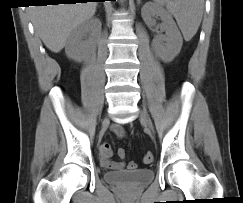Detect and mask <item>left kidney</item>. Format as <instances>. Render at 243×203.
<instances>
[{
    "label": "left kidney",
    "instance_id": "left-kidney-1",
    "mask_svg": "<svg viewBox=\"0 0 243 203\" xmlns=\"http://www.w3.org/2000/svg\"><path fill=\"white\" fill-rule=\"evenodd\" d=\"M141 15L148 26H153L155 24L153 19L155 16L161 18L163 23L160 25V28L162 31L166 32V36H157L153 41V48L156 55L163 62L169 63L173 61L180 53L183 39L171 15L158 4L151 2L143 6Z\"/></svg>",
    "mask_w": 243,
    "mask_h": 203
}]
</instances>
